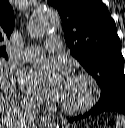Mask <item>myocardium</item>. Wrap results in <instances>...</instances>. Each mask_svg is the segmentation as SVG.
I'll list each match as a JSON object with an SVG mask.
<instances>
[{
	"label": "myocardium",
	"mask_w": 125,
	"mask_h": 128,
	"mask_svg": "<svg viewBox=\"0 0 125 128\" xmlns=\"http://www.w3.org/2000/svg\"><path fill=\"white\" fill-rule=\"evenodd\" d=\"M73 81L83 85L86 89V94L83 99L77 103L69 104L64 102L61 108L66 114H78L84 112L91 108L99 98V86L95 79L90 75L85 73L76 74L73 77Z\"/></svg>",
	"instance_id": "myocardium-1"
}]
</instances>
